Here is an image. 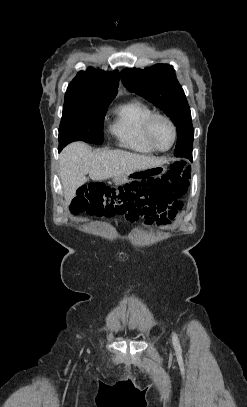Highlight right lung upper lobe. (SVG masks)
<instances>
[{"mask_svg":"<svg viewBox=\"0 0 247 407\" xmlns=\"http://www.w3.org/2000/svg\"><path fill=\"white\" fill-rule=\"evenodd\" d=\"M119 71L105 72L99 69L80 71L70 82L64 103L112 101L117 94Z\"/></svg>","mask_w":247,"mask_h":407,"instance_id":"obj_1","label":"right lung upper lobe"}]
</instances>
